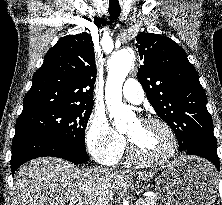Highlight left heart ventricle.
<instances>
[{
	"mask_svg": "<svg viewBox=\"0 0 222 205\" xmlns=\"http://www.w3.org/2000/svg\"><path fill=\"white\" fill-rule=\"evenodd\" d=\"M126 133L137 153L144 158H159L169 150L170 138L159 125L134 120L128 125Z\"/></svg>",
	"mask_w": 222,
	"mask_h": 205,
	"instance_id": "obj_1",
	"label": "left heart ventricle"
}]
</instances>
